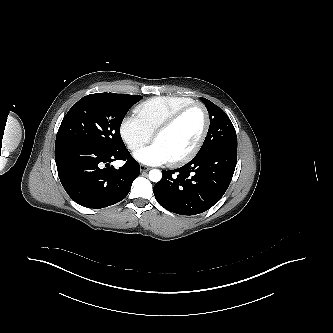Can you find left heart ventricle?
Returning <instances> with one entry per match:
<instances>
[{
    "instance_id": "1",
    "label": "left heart ventricle",
    "mask_w": 333,
    "mask_h": 333,
    "mask_svg": "<svg viewBox=\"0 0 333 333\" xmlns=\"http://www.w3.org/2000/svg\"><path fill=\"white\" fill-rule=\"evenodd\" d=\"M204 126V115L199 107L184 114L170 129L159 135L158 143L169 160L188 152L197 142Z\"/></svg>"
}]
</instances>
